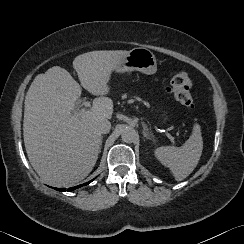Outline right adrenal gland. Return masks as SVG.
<instances>
[{"instance_id": "obj_1", "label": "right adrenal gland", "mask_w": 244, "mask_h": 244, "mask_svg": "<svg viewBox=\"0 0 244 244\" xmlns=\"http://www.w3.org/2000/svg\"><path fill=\"white\" fill-rule=\"evenodd\" d=\"M101 138H102V137H101ZM101 145H102V142H101V144H100L99 152L101 151Z\"/></svg>"}]
</instances>
